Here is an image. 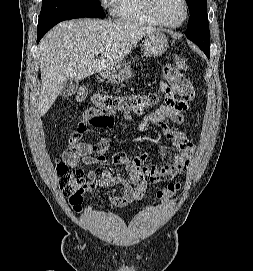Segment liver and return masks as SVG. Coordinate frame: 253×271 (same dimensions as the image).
<instances>
[{
  "label": "liver",
  "instance_id": "1",
  "mask_svg": "<svg viewBox=\"0 0 253 271\" xmlns=\"http://www.w3.org/2000/svg\"><path fill=\"white\" fill-rule=\"evenodd\" d=\"M156 31L136 22L89 18L56 25L39 43L40 116L47 113L67 80L80 81L116 66L145 35ZM98 50L101 57L95 59Z\"/></svg>",
  "mask_w": 253,
  "mask_h": 271
}]
</instances>
